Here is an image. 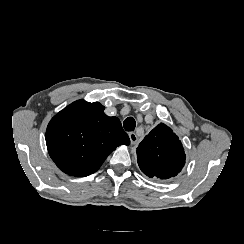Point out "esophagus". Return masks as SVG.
Listing matches in <instances>:
<instances>
[{"mask_svg": "<svg viewBox=\"0 0 244 244\" xmlns=\"http://www.w3.org/2000/svg\"><path fill=\"white\" fill-rule=\"evenodd\" d=\"M129 138H130V141H131L132 145L136 144L137 141H138V137H137V135L134 132H130L129 133Z\"/></svg>", "mask_w": 244, "mask_h": 244, "instance_id": "esophagus-1", "label": "esophagus"}]
</instances>
